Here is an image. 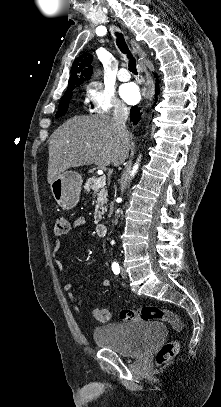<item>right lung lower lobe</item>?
<instances>
[{
	"label": "right lung lower lobe",
	"mask_w": 221,
	"mask_h": 407,
	"mask_svg": "<svg viewBox=\"0 0 221 407\" xmlns=\"http://www.w3.org/2000/svg\"><path fill=\"white\" fill-rule=\"evenodd\" d=\"M154 75L156 76V74H154ZM158 82H159V80H158V78H156V88H155L156 95L159 94ZM156 101H157V98L155 99V102ZM140 116H141V113L139 112V108L137 106H133L130 111V117H131V120L134 122V124H136L140 120Z\"/></svg>",
	"instance_id": "right-lung-lower-lobe-1"
}]
</instances>
